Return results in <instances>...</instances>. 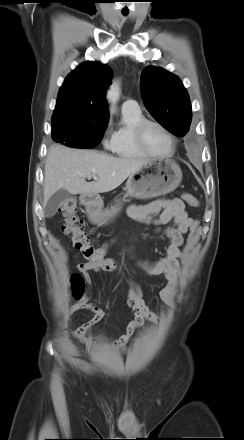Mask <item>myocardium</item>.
I'll return each instance as SVG.
<instances>
[{"mask_svg":"<svg viewBox=\"0 0 244 440\" xmlns=\"http://www.w3.org/2000/svg\"><path fill=\"white\" fill-rule=\"evenodd\" d=\"M149 125H153L158 127L159 129H161L165 135L169 138L170 143H171V150L169 153L166 154H154L152 152H150L145 145L144 142V131L146 129L147 126ZM132 136H133V140L134 143L136 144V146L146 155L148 156H152V157H165V156H170L172 155L175 150H176V140L173 136V134L160 122H157L155 120H151V119H142L139 122H137L132 129Z\"/></svg>","mask_w":244,"mask_h":440,"instance_id":"f54148a6","label":"myocardium"}]
</instances>
